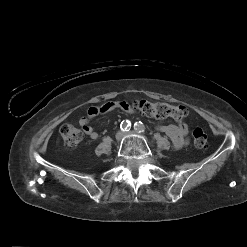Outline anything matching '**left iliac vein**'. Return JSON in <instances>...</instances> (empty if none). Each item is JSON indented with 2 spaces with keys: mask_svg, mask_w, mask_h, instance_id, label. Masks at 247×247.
Listing matches in <instances>:
<instances>
[{
  "mask_svg": "<svg viewBox=\"0 0 247 247\" xmlns=\"http://www.w3.org/2000/svg\"><path fill=\"white\" fill-rule=\"evenodd\" d=\"M132 134H133L132 131H127V132L124 133V135H132Z\"/></svg>",
  "mask_w": 247,
  "mask_h": 247,
  "instance_id": "1",
  "label": "left iliac vein"
}]
</instances>
